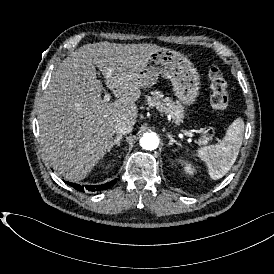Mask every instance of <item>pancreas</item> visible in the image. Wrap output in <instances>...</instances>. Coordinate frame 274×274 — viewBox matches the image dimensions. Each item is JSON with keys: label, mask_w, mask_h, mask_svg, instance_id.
I'll use <instances>...</instances> for the list:
<instances>
[{"label": "pancreas", "mask_w": 274, "mask_h": 274, "mask_svg": "<svg viewBox=\"0 0 274 274\" xmlns=\"http://www.w3.org/2000/svg\"><path fill=\"white\" fill-rule=\"evenodd\" d=\"M146 102L149 107H156L159 112H164L171 116L174 122L179 125L184 119V107L180 103H176L170 97H164L162 92L153 91L151 96H146ZM211 136L203 135L200 139L201 144L206 145Z\"/></svg>", "instance_id": "1"}]
</instances>
